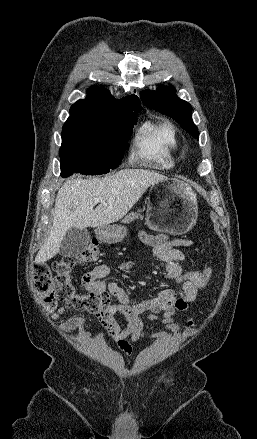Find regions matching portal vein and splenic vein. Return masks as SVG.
<instances>
[{
  "instance_id": "18ae733b",
  "label": "portal vein and splenic vein",
  "mask_w": 257,
  "mask_h": 439,
  "mask_svg": "<svg viewBox=\"0 0 257 439\" xmlns=\"http://www.w3.org/2000/svg\"><path fill=\"white\" fill-rule=\"evenodd\" d=\"M102 202V198H96L95 203Z\"/></svg>"
}]
</instances>
